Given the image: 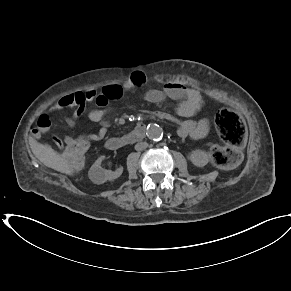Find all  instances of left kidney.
<instances>
[{"mask_svg":"<svg viewBox=\"0 0 291 291\" xmlns=\"http://www.w3.org/2000/svg\"><path fill=\"white\" fill-rule=\"evenodd\" d=\"M188 158L197 167H204L210 159L209 155L203 150L192 151Z\"/></svg>","mask_w":291,"mask_h":291,"instance_id":"5707ae66","label":"left kidney"}]
</instances>
